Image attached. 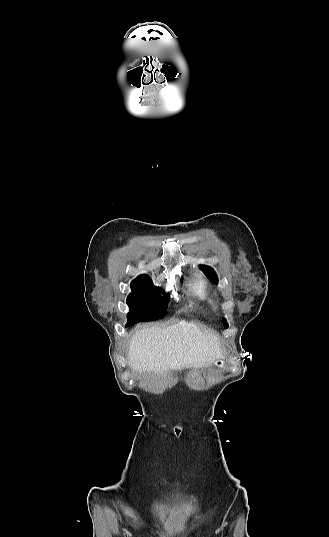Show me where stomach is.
Listing matches in <instances>:
<instances>
[{"instance_id": "obj_1", "label": "stomach", "mask_w": 329, "mask_h": 537, "mask_svg": "<svg viewBox=\"0 0 329 537\" xmlns=\"http://www.w3.org/2000/svg\"><path fill=\"white\" fill-rule=\"evenodd\" d=\"M224 365H225V360L222 358L215 360L213 363V366L218 367V368H223Z\"/></svg>"}]
</instances>
